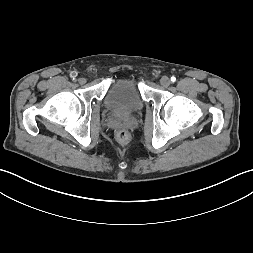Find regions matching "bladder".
Listing matches in <instances>:
<instances>
[{
  "label": "bladder",
  "mask_w": 253,
  "mask_h": 253,
  "mask_svg": "<svg viewBox=\"0 0 253 253\" xmlns=\"http://www.w3.org/2000/svg\"><path fill=\"white\" fill-rule=\"evenodd\" d=\"M105 108L117 115L130 116L144 107L138 82L133 77H120L109 83L104 95Z\"/></svg>",
  "instance_id": "bladder-1"
}]
</instances>
